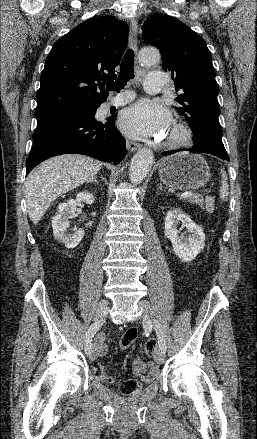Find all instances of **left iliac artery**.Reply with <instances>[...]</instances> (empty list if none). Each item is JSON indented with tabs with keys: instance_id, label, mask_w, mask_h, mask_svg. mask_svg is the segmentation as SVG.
<instances>
[{
	"instance_id": "44dca946",
	"label": "left iliac artery",
	"mask_w": 257,
	"mask_h": 439,
	"mask_svg": "<svg viewBox=\"0 0 257 439\" xmlns=\"http://www.w3.org/2000/svg\"><path fill=\"white\" fill-rule=\"evenodd\" d=\"M154 329L156 331L157 337H158V345H159V349L165 353L166 352V339H165V335L162 329L161 324L158 321H154Z\"/></svg>"
}]
</instances>
